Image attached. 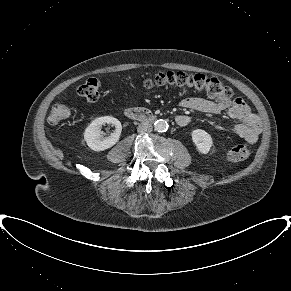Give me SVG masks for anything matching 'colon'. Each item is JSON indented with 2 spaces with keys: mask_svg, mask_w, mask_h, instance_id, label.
Instances as JSON below:
<instances>
[{
  "mask_svg": "<svg viewBox=\"0 0 291 291\" xmlns=\"http://www.w3.org/2000/svg\"><path fill=\"white\" fill-rule=\"evenodd\" d=\"M146 89L173 88L178 90L205 91L207 95L217 101L230 100L233 97L232 89L216 77L203 74H187L180 71L161 72L145 80ZM101 84L97 78H89L77 89V94L88 101L94 102L100 96ZM72 110L64 105L58 104L50 113V121L59 123L68 119ZM250 155L249 145L244 142L237 143L228 152V159L232 162L246 160Z\"/></svg>",
  "mask_w": 291,
  "mask_h": 291,
  "instance_id": "1",
  "label": "colon"
}]
</instances>
